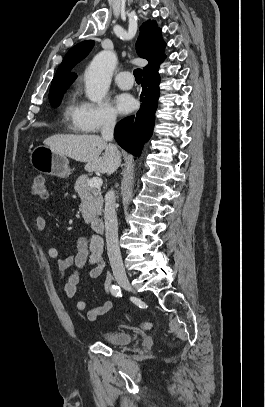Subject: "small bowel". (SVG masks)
I'll return each mask as SVG.
<instances>
[{
    "label": "small bowel",
    "mask_w": 265,
    "mask_h": 407,
    "mask_svg": "<svg viewBox=\"0 0 265 407\" xmlns=\"http://www.w3.org/2000/svg\"><path fill=\"white\" fill-rule=\"evenodd\" d=\"M35 227L37 230H45V219L37 215L35 217ZM48 232H53L52 229H48ZM48 256L51 259L57 261V266L60 273L63 276L68 275V272L72 267L75 270L67 276V281L64 287L65 295L68 299L74 298L77 292V285L79 282V270L85 265H89L88 276L92 279L100 277L105 269V264L102 258V248L100 242L94 239L90 245H87L84 237L77 239L76 252L71 257H60L57 249L49 248L47 251ZM111 277L106 274L104 279V289L108 294L111 291ZM87 308V303L84 300H79L76 303V309L78 311H84ZM112 308V302L105 300L103 304L91 308L87 311V319L91 322L96 321L100 316L107 313Z\"/></svg>",
    "instance_id": "obj_1"
}]
</instances>
